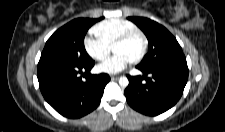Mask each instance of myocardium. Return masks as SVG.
Here are the masks:
<instances>
[{
  "label": "myocardium",
  "mask_w": 225,
  "mask_h": 132,
  "mask_svg": "<svg viewBox=\"0 0 225 132\" xmlns=\"http://www.w3.org/2000/svg\"><path fill=\"white\" fill-rule=\"evenodd\" d=\"M134 36H139L141 37L142 41H143V47L141 52L139 53L138 56H136L134 59H132L133 62L137 63L140 62L141 60L144 59V57L146 56L147 52H148V48H149V41L147 36L139 29H133L130 31H127L126 33H124L123 35H121L113 44V49L120 44H123L127 41H129L131 38H133Z\"/></svg>",
  "instance_id": "obj_1"
}]
</instances>
